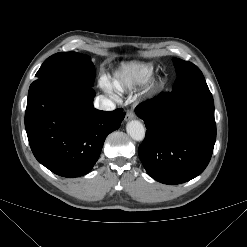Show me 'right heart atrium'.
<instances>
[{
  "instance_id": "right-heart-atrium-1",
  "label": "right heart atrium",
  "mask_w": 247,
  "mask_h": 247,
  "mask_svg": "<svg viewBox=\"0 0 247 247\" xmlns=\"http://www.w3.org/2000/svg\"><path fill=\"white\" fill-rule=\"evenodd\" d=\"M101 84H102V86L105 87L107 90H110L109 84L106 82L105 79H102V80H101Z\"/></svg>"
}]
</instances>
